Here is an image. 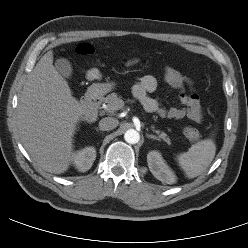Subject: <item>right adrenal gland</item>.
<instances>
[{
	"mask_svg": "<svg viewBox=\"0 0 248 248\" xmlns=\"http://www.w3.org/2000/svg\"><path fill=\"white\" fill-rule=\"evenodd\" d=\"M95 130H96L97 132H99V131H100V129H99L98 127H96V128H95Z\"/></svg>",
	"mask_w": 248,
	"mask_h": 248,
	"instance_id": "right-adrenal-gland-1",
	"label": "right adrenal gland"
}]
</instances>
